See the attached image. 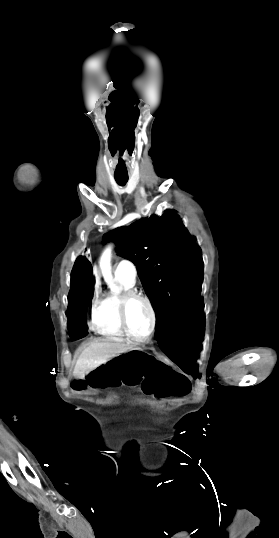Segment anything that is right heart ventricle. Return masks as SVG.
<instances>
[{
	"instance_id": "e07e8e85",
	"label": "right heart ventricle",
	"mask_w": 279,
	"mask_h": 538,
	"mask_svg": "<svg viewBox=\"0 0 279 538\" xmlns=\"http://www.w3.org/2000/svg\"><path fill=\"white\" fill-rule=\"evenodd\" d=\"M117 291L104 294L95 300L91 311V327L97 333L109 337H123L124 333L118 319V306L122 295L133 289L134 283H130L124 277L115 274Z\"/></svg>"
}]
</instances>
